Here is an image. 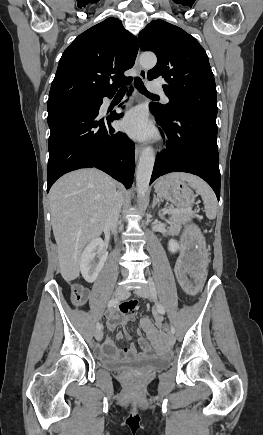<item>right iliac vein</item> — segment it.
<instances>
[{"instance_id": "1", "label": "right iliac vein", "mask_w": 263, "mask_h": 435, "mask_svg": "<svg viewBox=\"0 0 263 435\" xmlns=\"http://www.w3.org/2000/svg\"><path fill=\"white\" fill-rule=\"evenodd\" d=\"M114 296L116 298L124 299V298H126L128 296V290L123 288V287H118V288H116V290L114 292ZM102 337H103L102 330L101 329L97 330L95 332V338H96V340H101Z\"/></svg>"}]
</instances>
